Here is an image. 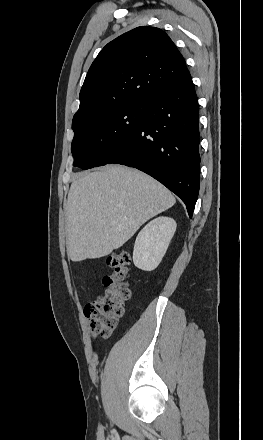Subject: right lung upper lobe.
Returning a JSON list of instances; mask_svg holds the SVG:
<instances>
[{
    "mask_svg": "<svg viewBox=\"0 0 263 440\" xmlns=\"http://www.w3.org/2000/svg\"><path fill=\"white\" fill-rule=\"evenodd\" d=\"M189 74L183 56L161 29L143 26L126 32L108 43L92 63L72 128L106 109L145 102Z\"/></svg>",
    "mask_w": 263,
    "mask_h": 440,
    "instance_id": "obj_1",
    "label": "right lung upper lobe"
}]
</instances>
